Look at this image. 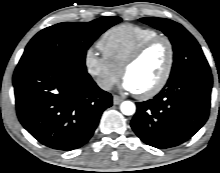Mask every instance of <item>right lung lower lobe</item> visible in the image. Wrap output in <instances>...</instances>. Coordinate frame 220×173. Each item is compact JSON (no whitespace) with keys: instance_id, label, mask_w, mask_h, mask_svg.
Instances as JSON below:
<instances>
[{"instance_id":"obj_1","label":"right lung lower lobe","mask_w":220,"mask_h":173,"mask_svg":"<svg viewBox=\"0 0 220 173\" xmlns=\"http://www.w3.org/2000/svg\"><path fill=\"white\" fill-rule=\"evenodd\" d=\"M13 84L18 118L41 144L57 150L83 146L112 105L87 72L57 62L18 65Z\"/></svg>"}]
</instances>
